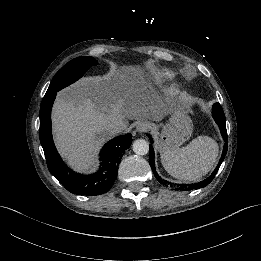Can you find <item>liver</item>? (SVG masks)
I'll use <instances>...</instances> for the list:
<instances>
[{"mask_svg": "<svg viewBox=\"0 0 261 261\" xmlns=\"http://www.w3.org/2000/svg\"><path fill=\"white\" fill-rule=\"evenodd\" d=\"M143 71L123 67L103 76L83 77L58 92L52 109L56 146L77 172L96 171L101 146L114 135L108 125L116 119L160 121L172 109L169 95L161 94Z\"/></svg>", "mask_w": 261, "mask_h": 261, "instance_id": "1", "label": "liver"}]
</instances>
